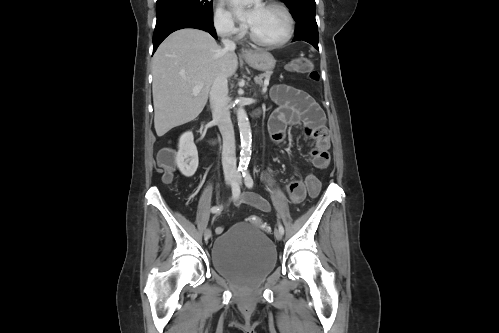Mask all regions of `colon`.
Listing matches in <instances>:
<instances>
[{
  "label": "colon",
  "mask_w": 499,
  "mask_h": 333,
  "mask_svg": "<svg viewBox=\"0 0 499 333\" xmlns=\"http://www.w3.org/2000/svg\"><path fill=\"white\" fill-rule=\"evenodd\" d=\"M291 69L293 71L307 74L308 78L314 82L319 81V73L313 68L312 62L308 58H299L292 62ZM159 166L163 172V180L170 183L173 179L175 170V155L172 149H164L159 155ZM304 186L308 195L312 198L316 197L321 189V183L316 175L309 173L304 179ZM247 221L256 225L265 232H269L270 228L257 216H249Z\"/></svg>",
  "instance_id": "1"
}]
</instances>
